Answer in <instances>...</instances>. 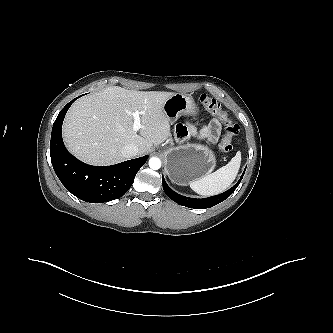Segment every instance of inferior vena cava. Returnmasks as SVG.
Here are the masks:
<instances>
[{"label": "inferior vena cava", "instance_id": "602c4592", "mask_svg": "<svg viewBox=\"0 0 333 333\" xmlns=\"http://www.w3.org/2000/svg\"><path fill=\"white\" fill-rule=\"evenodd\" d=\"M125 158L134 157L139 154V147L135 144H127L121 150Z\"/></svg>", "mask_w": 333, "mask_h": 333}]
</instances>
